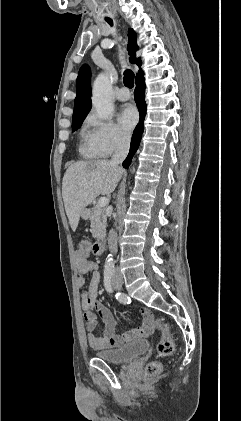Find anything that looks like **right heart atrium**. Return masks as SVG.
Returning a JSON list of instances; mask_svg holds the SVG:
<instances>
[{"label": "right heart atrium", "instance_id": "right-heart-atrium-1", "mask_svg": "<svg viewBox=\"0 0 241 421\" xmlns=\"http://www.w3.org/2000/svg\"><path fill=\"white\" fill-rule=\"evenodd\" d=\"M88 128L87 138L97 157H108L117 150L125 148L130 142L129 134L110 119H102L90 112L85 120Z\"/></svg>", "mask_w": 241, "mask_h": 421}]
</instances>
